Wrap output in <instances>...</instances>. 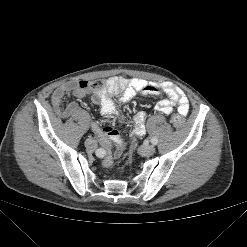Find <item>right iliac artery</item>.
I'll return each mask as SVG.
<instances>
[{"label": "right iliac artery", "mask_w": 247, "mask_h": 247, "mask_svg": "<svg viewBox=\"0 0 247 247\" xmlns=\"http://www.w3.org/2000/svg\"><path fill=\"white\" fill-rule=\"evenodd\" d=\"M95 153L99 158H104L107 155V150L104 147L99 146L96 148Z\"/></svg>", "instance_id": "82829eb1"}]
</instances>
